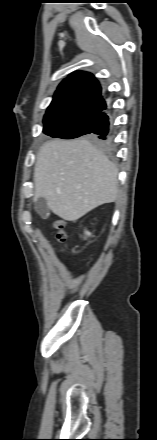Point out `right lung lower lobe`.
I'll return each instance as SVG.
<instances>
[{
	"instance_id": "right-lung-lower-lobe-1",
	"label": "right lung lower lobe",
	"mask_w": 157,
	"mask_h": 440,
	"mask_svg": "<svg viewBox=\"0 0 157 440\" xmlns=\"http://www.w3.org/2000/svg\"><path fill=\"white\" fill-rule=\"evenodd\" d=\"M89 128L99 135L98 138L105 140L109 130V118L106 112L99 116Z\"/></svg>"
}]
</instances>
